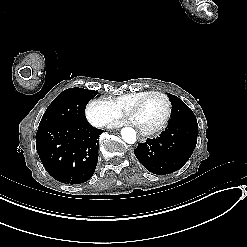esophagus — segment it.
<instances>
[{
	"label": "esophagus",
	"instance_id": "obj_1",
	"mask_svg": "<svg viewBox=\"0 0 247 247\" xmlns=\"http://www.w3.org/2000/svg\"><path fill=\"white\" fill-rule=\"evenodd\" d=\"M138 140H139V142H141V143L146 142V138H145V137H142V136H138Z\"/></svg>",
	"mask_w": 247,
	"mask_h": 247
}]
</instances>
